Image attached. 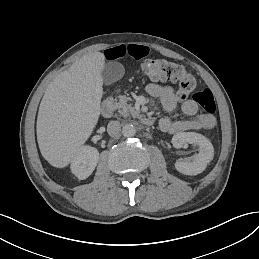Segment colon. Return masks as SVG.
Segmentation results:
<instances>
[{"label":"colon","mask_w":259,"mask_h":259,"mask_svg":"<svg viewBox=\"0 0 259 259\" xmlns=\"http://www.w3.org/2000/svg\"><path fill=\"white\" fill-rule=\"evenodd\" d=\"M141 72L150 80L177 84V95L181 99H184L196 87L194 76L183 65L171 60L163 58L145 60L141 64ZM193 100L208 114H213L216 110L215 99L209 89L194 93Z\"/></svg>","instance_id":"5ec220e1"}]
</instances>
